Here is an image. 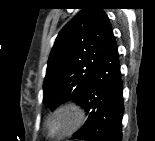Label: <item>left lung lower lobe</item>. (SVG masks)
<instances>
[{"label":"left lung lower lobe","instance_id":"0a47b994","mask_svg":"<svg viewBox=\"0 0 155 141\" xmlns=\"http://www.w3.org/2000/svg\"><path fill=\"white\" fill-rule=\"evenodd\" d=\"M79 104L88 120L72 139L121 141L123 85L115 38L106 47Z\"/></svg>","mask_w":155,"mask_h":141}]
</instances>
